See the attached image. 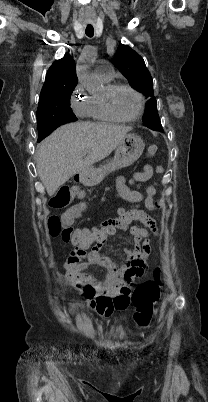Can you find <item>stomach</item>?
<instances>
[{
	"mask_svg": "<svg viewBox=\"0 0 208 402\" xmlns=\"http://www.w3.org/2000/svg\"><path fill=\"white\" fill-rule=\"evenodd\" d=\"M145 148L144 140L136 134H127L123 142L117 146L115 156L109 164H105L102 168H94L92 172H86L81 176V182L84 186H96L104 180L107 172H114L120 168H128L133 162H136L143 154Z\"/></svg>",
	"mask_w": 208,
	"mask_h": 402,
	"instance_id": "obj_1",
	"label": "stomach"
}]
</instances>
